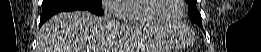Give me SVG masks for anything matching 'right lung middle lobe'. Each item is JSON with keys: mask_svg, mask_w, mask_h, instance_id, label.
Here are the masks:
<instances>
[{"mask_svg": "<svg viewBox=\"0 0 261 52\" xmlns=\"http://www.w3.org/2000/svg\"><path fill=\"white\" fill-rule=\"evenodd\" d=\"M84 2L95 5V6H101L102 0H91V1H84Z\"/></svg>", "mask_w": 261, "mask_h": 52, "instance_id": "obj_1", "label": "right lung middle lobe"}]
</instances>
